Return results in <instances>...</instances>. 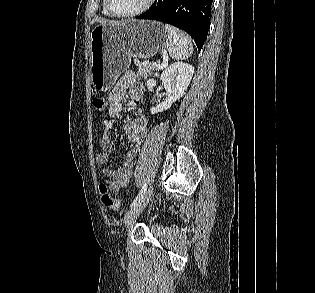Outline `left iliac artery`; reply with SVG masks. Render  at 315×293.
I'll use <instances>...</instances> for the list:
<instances>
[{
  "mask_svg": "<svg viewBox=\"0 0 315 293\" xmlns=\"http://www.w3.org/2000/svg\"><path fill=\"white\" fill-rule=\"evenodd\" d=\"M146 190H147V184L145 183L143 185L141 191L138 193V195L134 199L133 203L131 204V207L134 206L137 202H139L142 199V197L144 196Z\"/></svg>",
  "mask_w": 315,
  "mask_h": 293,
  "instance_id": "44dca946",
  "label": "left iliac artery"
}]
</instances>
